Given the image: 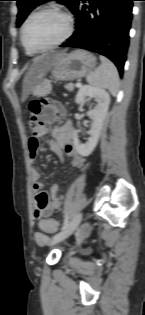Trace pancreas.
I'll list each match as a JSON object with an SVG mask.
<instances>
[{"instance_id":"1","label":"pancreas","mask_w":145,"mask_h":315,"mask_svg":"<svg viewBox=\"0 0 145 315\" xmlns=\"http://www.w3.org/2000/svg\"><path fill=\"white\" fill-rule=\"evenodd\" d=\"M65 88L68 89L69 91H73L74 90V84L73 83H68L65 85Z\"/></svg>"}]
</instances>
